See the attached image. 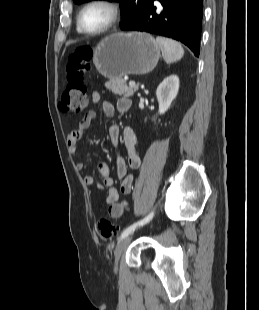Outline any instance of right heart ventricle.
Wrapping results in <instances>:
<instances>
[{
    "label": "right heart ventricle",
    "instance_id": "obj_1",
    "mask_svg": "<svg viewBox=\"0 0 259 310\" xmlns=\"http://www.w3.org/2000/svg\"><path fill=\"white\" fill-rule=\"evenodd\" d=\"M78 32L81 33V31L77 28Z\"/></svg>",
    "mask_w": 259,
    "mask_h": 310
}]
</instances>
